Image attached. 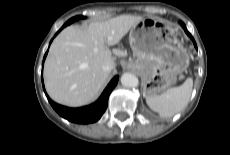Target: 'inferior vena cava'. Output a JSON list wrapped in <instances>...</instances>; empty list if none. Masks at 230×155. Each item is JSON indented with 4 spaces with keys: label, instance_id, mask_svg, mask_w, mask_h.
Returning <instances> with one entry per match:
<instances>
[{
    "label": "inferior vena cava",
    "instance_id": "602c4592",
    "mask_svg": "<svg viewBox=\"0 0 230 155\" xmlns=\"http://www.w3.org/2000/svg\"><path fill=\"white\" fill-rule=\"evenodd\" d=\"M115 68V65H114V62L113 61H109L108 63H106L104 66H103V69L110 73L111 70H113Z\"/></svg>",
    "mask_w": 230,
    "mask_h": 155
}]
</instances>
